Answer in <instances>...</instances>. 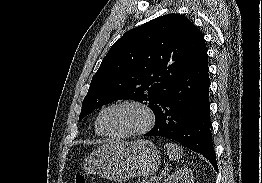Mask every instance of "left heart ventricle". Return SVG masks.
<instances>
[{"label": "left heart ventricle", "mask_w": 262, "mask_h": 183, "mask_svg": "<svg viewBox=\"0 0 262 183\" xmlns=\"http://www.w3.org/2000/svg\"><path fill=\"white\" fill-rule=\"evenodd\" d=\"M145 113L134 106H118L107 110L101 119L102 128L112 134H123L142 128Z\"/></svg>", "instance_id": "obj_1"}]
</instances>
